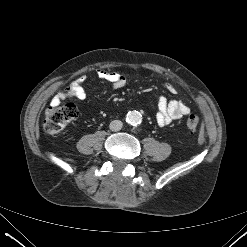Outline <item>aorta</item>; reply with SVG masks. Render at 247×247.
<instances>
[{
  "mask_svg": "<svg viewBox=\"0 0 247 247\" xmlns=\"http://www.w3.org/2000/svg\"><path fill=\"white\" fill-rule=\"evenodd\" d=\"M142 121V115L140 112L133 110L129 111L126 115V122L130 125L137 126Z\"/></svg>",
  "mask_w": 247,
  "mask_h": 247,
  "instance_id": "762f6f07",
  "label": "aorta"
}]
</instances>
